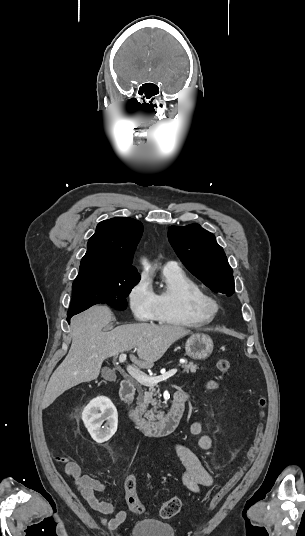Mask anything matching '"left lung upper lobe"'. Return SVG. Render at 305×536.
I'll list each match as a JSON object with an SVG mask.
<instances>
[{
	"mask_svg": "<svg viewBox=\"0 0 305 536\" xmlns=\"http://www.w3.org/2000/svg\"><path fill=\"white\" fill-rule=\"evenodd\" d=\"M168 239L185 267L214 292L234 293L233 270L215 236L198 224L171 226Z\"/></svg>",
	"mask_w": 305,
	"mask_h": 536,
	"instance_id": "left-lung-upper-lobe-1",
	"label": "left lung upper lobe"
}]
</instances>
